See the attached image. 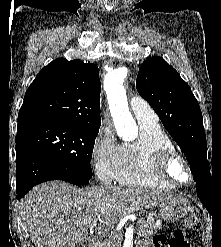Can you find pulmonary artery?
<instances>
[{
	"label": "pulmonary artery",
	"mask_w": 221,
	"mask_h": 247,
	"mask_svg": "<svg viewBox=\"0 0 221 247\" xmlns=\"http://www.w3.org/2000/svg\"><path fill=\"white\" fill-rule=\"evenodd\" d=\"M130 108L137 121L144 124H157L158 116L150 105L139 96L130 99Z\"/></svg>",
	"instance_id": "pulmonary-artery-1"
}]
</instances>
